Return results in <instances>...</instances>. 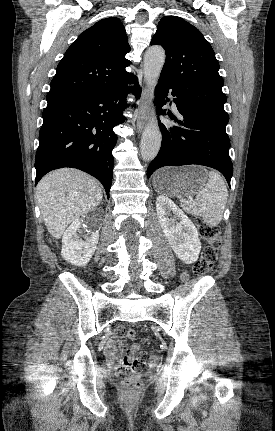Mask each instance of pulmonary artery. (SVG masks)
I'll list each match as a JSON object with an SVG mask.
<instances>
[{
  "mask_svg": "<svg viewBox=\"0 0 275 431\" xmlns=\"http://www.w3.org/2000/svg\"><path fill=\"white\" fill-rule=\"evenodd\" d=\"M172 107H173L174 110H176V105H175L174 102L172 103Z\"/></svg>",
  "mask_w": 275,
  "mask_h": 431,
  "instance_id": "pulmonary-artery-1",
  "label": "pulmonary artery"
}]
</instances>
